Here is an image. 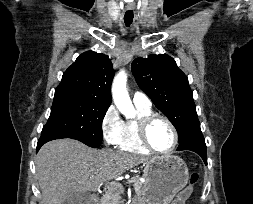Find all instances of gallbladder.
<instances>
[{"label":"gallbladder","instance_id":"obj_1","mask_svg":"<svg viewBox=\"0 0 253 204\" xmlns=\"http://www.w3.org/2000/svg\"><path fill=\"white\" fill-rule=\"evenodd\" d=\"M89 199L88 192L69 193L63 199L61 204H86Z\"/></svg>","mask_w":253,"mask_h":204}]
</instances>
